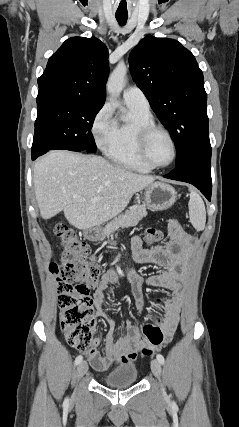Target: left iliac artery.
Masks as SVG:
<instances>
[{
  "label": "left iliac artery",
  "mask_w": 239,
  "mask_h": 427,
  "mask_svg": "<svg viewBox=\"0 0 239 427\" xmlns=\"http://www.w3.org/2000/svg\"><path fill=\"white\" fill-rule=\"evenodd\" d=\"M157 360L161 363L164 364L165 363V359L161 354H157Z\"/></svg>",
  "instance_id": "obj_1"
}]
</instances>
